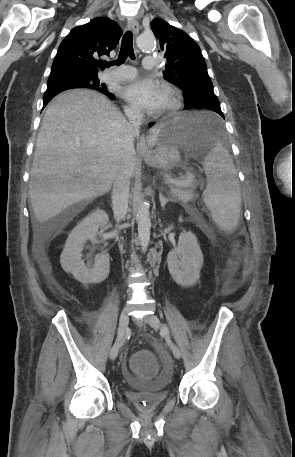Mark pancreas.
Instances as JSON below:
<instances>
[{
    "label": "pancreas",
    "instance_id": "1",
    "mask_svg": "<svg viewBox=\"0 0 295 457\" xmlns=\"http://www.w3.org/2000/svg\"><path fill=\"white\" fill-rule=\"evenodd\" d=\"M196 186V182H192L189 185L186 186H171V196L173 197V200H180L182 202H187L190 200H193L194 198V189Z\"/></svg>",
    "mask_w": 295,
    "mask_h": 457
}]
</instances>
